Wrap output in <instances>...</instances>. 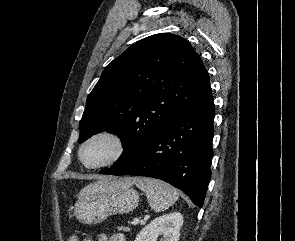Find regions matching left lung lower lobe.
Segmentation results:
<instances>
[{
  "label": "left lung lower lobe",
  "mask_w": 295,
  "mask_h": 241,
  "mask_svg": "<svg viewBox=\"0 0 295 241\" xmlns=\"http://www.w3.org/2000/svg\"><path fill=\"white\" fill-rule=\"evenodd\" d=\"M214 115L210 93L165 124L132 159L111 171L100 172L161 179L202 207L211 178Z\"/></svg>",
  "instance_id": "obj_1"
}]
</instances>
